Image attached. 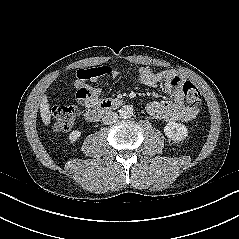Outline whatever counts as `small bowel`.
Instances as JSON below:
<instances>
[{"instance_id":"obj_1","label":"small bowel","mask_w":239,"mask_h":239,"mask_svg":"<svg viewBox=\"0 0 239 239\" xmlns=\"http://www.w3.org/2000/svg\"><path fill=\"white\" fill-rule=\"evenodd\" d=\"M103 69L105 72L97 76H89L96 69ZM108 75L111 79L118 76V72L106 67H93L80 69L76 73L75 97L78 103L86 108H94L102 101V90L90 85L88 82H96L102 75ZM138 78L141 83L149 87H156L160 81H164L165 89L173 99L166 102H151L147 106L148 113L159 120L189 122L193 120L198 110L195 107L186 106L181 92L184 78L171 72H155L149 66H142L138 69Z\"/></svg>"}]
</instances>
